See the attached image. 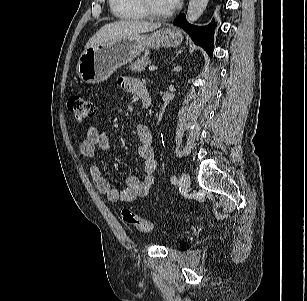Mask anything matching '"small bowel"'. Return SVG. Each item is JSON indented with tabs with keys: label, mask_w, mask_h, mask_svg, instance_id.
<instances>
[{
	"label": "small bowel",
	"mask_w": 307,
	"mask_h": 301,
	"mask_svg": "<svg viewBox=\"0 0 307 301\" xmlns=\"http://www.w3.org/2000/svg\"><path fill=\"white\" fill-rule=\"evenodd\" d=\"M120 85L132 94L138 95V90L144 87L143 83L137 79L126 77L119 80ZM138 140L137 155L143 161V177L140 179L136 175H131L126 179V186L119 191L102 176L100 168L93 164L90 166V175L95 188L107 196L111 202L133 201L140 197H145L150 193L154 183V172L157 162L152 146V136L150 130L145 125L136 127ZM96 149L104 152L109 150V142L106 134L97 127H90L80 143V152L88 158L95 155Z\"/></svg>",
	"instance_id": "obj_1"
}]
</instances>
